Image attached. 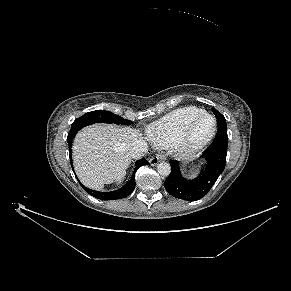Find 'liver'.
<instances>
[{
    "label": "liver",
    "mask_w": 291,
    "mask_h": 291,
    "mask_svg": "<svg viewBox=\"0 0 291 291\" xmlns=\"http://www.w3.org/2000/svg\"><path fill=\"white\" fill-rule=\"evenodd\" d=\"M141 134L130 127L94 124L79 131L73 142V163L80 181L95 190L120 181L131 163V143Z\"/></svg>",
    "instance_id": "liver-1"
}]
</instances>
